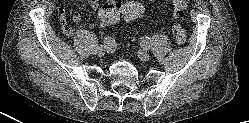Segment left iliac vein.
<instances>
[{"instance_id":"obj_1","label":"left iliac vein","mask_w":249,"mask_h":123,"mask_svg":"<svg viewBox=\"0 0 249 123\" xmlns=\"http://www.w3.org/2000/svg\"><path fill=\"white\" fill-rule=\"evenodd\" d=\"M138 56L143 61H148L149 58H150L149 54L144 50H139L138 51Z\"/></svg>"}]
</instances>
